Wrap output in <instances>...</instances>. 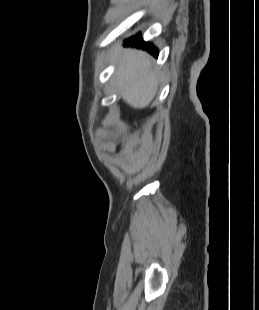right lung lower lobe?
<instances>
[{
  "mask_svg": "<svg viewBox=\"0 0 259 310\" xmlns=\"http://www.w3.org/2000/svg\"><path fill=\"white\" fill-rule=\"evenodd\" d=\"M125 43H127L128 45L134 44V45H137L139 47H142V49L148 50L154 56L158 55V50H156V48L153 46V44H151L149 42H147V43L144 42L140 35H135V36L129 38L128 40L125 41Z\"/></svg>",
  "mask_w": 259,
  "mask_h": 310,
  "instance_id": "98d812e1",
  "label": "right lung lower lobe"
}]
</instances>
